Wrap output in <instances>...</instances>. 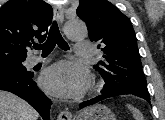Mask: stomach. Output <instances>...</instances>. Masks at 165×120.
<instances>
[{
	"instance_id": "stomach-1",
	"label": "stomach",
	"mask_w": 165,
	"mask_h": 120,
	"mask_svg": "<svg viewBox=\"0 0 165 120\" xmlns=\"http://www.w3.org/2000/svg\"><path fill=\"white\" fill-rule=\"evenodd\" d=\"M77 120H116V118L108 107L97 104L83 110Z\"/></svg>"
}]
</instances>
